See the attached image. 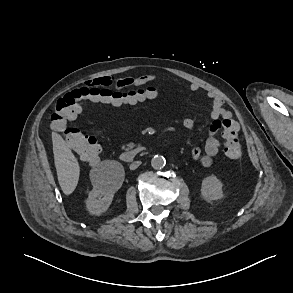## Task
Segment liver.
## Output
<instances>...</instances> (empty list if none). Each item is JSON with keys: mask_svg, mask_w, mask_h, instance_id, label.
I'll return each mask as SVG.
<instances>
[{"mask_svg": "<svg viewBox=\"0 0 293 293\" xmlns=\"http://www.w3.org/2000/svg\"><path fill=\"white\" fill-rule=\"evenodd\" d=\"M54 163L59 185L65 195L71 194L79 180V163L61 135L52 134Z\"/></svg>", "mask_w": 293, "mask_h": 293, "instance_id": "1", "label": "liver"}]
</instances>
